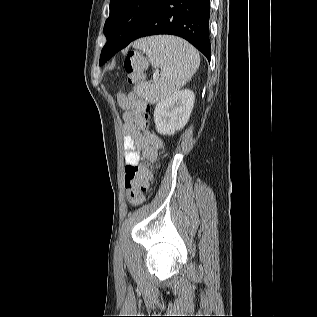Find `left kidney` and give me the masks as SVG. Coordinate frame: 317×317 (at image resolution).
Segmentation results:
<instances>
[{
    "label": "left kidney",
    "instance_id": "left-kidney-1",
    "mask_svg": "<svg viewBox=\"0 0 317 317\" xmlns=\"http://www.w3.org/2000/svg\"><path fill=\"white\" fill-rule=\"evenodd\" d=\"M194 92L178 91L159 102L154 110V122L158 133L173 135L187 123L193 109Z\"/></svg>",
    "mask_w": 317,
    "mask_h": 317
}]
</instances>
